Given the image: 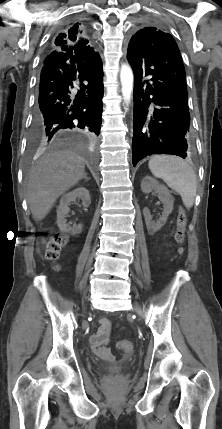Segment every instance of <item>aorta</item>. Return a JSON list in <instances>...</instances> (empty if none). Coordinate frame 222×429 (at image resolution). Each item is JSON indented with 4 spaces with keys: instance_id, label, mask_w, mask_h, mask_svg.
<instances>
[{
    "instance_id": "1",
    "label": "aorta",
    "mask_w": 222,
    "mask_h": 429,
    "mask_svg": "<svg viewBox=\"0 0 222 429\" xmlns=\"http://www.w3.org/2000/svg\"><path fill=\"white\" fill-rule=\"evenodd\" d=\"M120 80L122 85V94L126 103L130 101L131 92L133 90L134 76L132 69L127 65H122L120 72Z\"/></svg>"
}]
</instances>
